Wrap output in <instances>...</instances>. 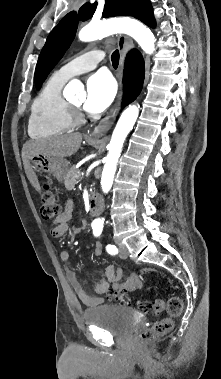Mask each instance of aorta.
I'll use <instances>...</instances> for the list:
<instances>
[{
	"label": "aorta",
	"mask_w": 221,
	"mask_h": 379,
	"mask_svg": "<svg viewBox=\"0 0 221 379\" xmlns=\"http://www.w3.org/2000/svg\"><path fill=\"white\" fill-rule=\"evenodd\" d=\"M125 33L134 38L139 46L147 54H152L155 50V37L151 30L140 21L129 18H115L102 21L99 23H89L79 32V39L84 42L94 41L111 34ZM65 93H76L82 96L83 91L80 88L79 81L72 80L65 88ZM139 115V105H129L121 114L117 125L113 131L109 152L104 161V167L101 177V188L104 193H108L112 187L117 163L121 155L124 141L132 130ZM95 222L103 225L101 219Z\"/></svg>",
	"instance_id": "obj_1"
}]
</instances>
